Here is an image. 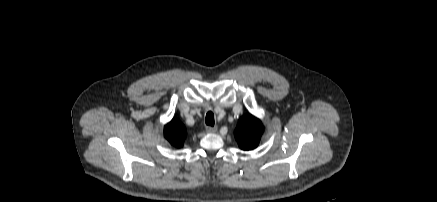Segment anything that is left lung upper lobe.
I'll list each match as a JSON object with an SVG mask.
<instances>
[{
    "mask_svg": "<svg viewBox=\"0 0 437 202\" xmlns=\"http://www.w3.org/2000/svg\"><path fill=\"white\" fill-rule=\"evenodd\" d=\"M262 133L261 121L251 114H246L240 118L234 135L242 150H252L258 146Z\"/></svg>",
    "mask_w": 437,
    "mask_h": 202,
    "instance_id": "left-lung-upper-lobe-1",
    "label": "left lung upper lobe"
}]
</instances>
